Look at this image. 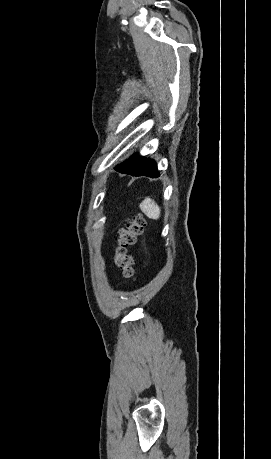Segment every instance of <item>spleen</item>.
Returning <instances> with one entry per match:
<instances>
[{
    "label": "spleen",
    "instance_id": "1",
    "mask_svg": "<svg viewBox=\"0 0 271 459\" xmlns=\"http://www.w3.org/2000/svg\"><path fill=\"white\" fill-rule=\"evenodd\" d=\"M140 210L147 218H151V220H158V218H160L161 210L151 198H145V200L141 202Z\"/></svg>",
    "mask_w": 271,
    "mask_h": 459
}]
</instances>
